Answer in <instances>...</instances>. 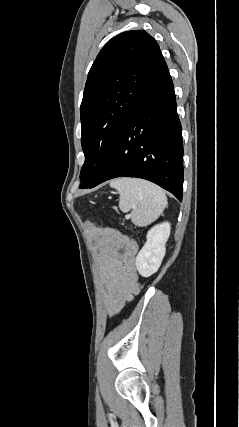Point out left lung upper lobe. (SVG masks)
I'll return each instance as SVG.
<instances>
[{"label": "left lung upper lobe", "instance_id": "1", "mask_svg": "<svg viewBox=\"0 0 239 427\" xmlns=\"http://www.w3.org/2000/svg\"><path fill=\"white\" fill-rule=\"evenodd\" d=\"M168 75L157 42L145 31L123 32L101 49L80 109L85 155L80 188L93 182L126 121Z\"/></svg>", "mask_w": 239, "mask_h": 427}]
</instances>
